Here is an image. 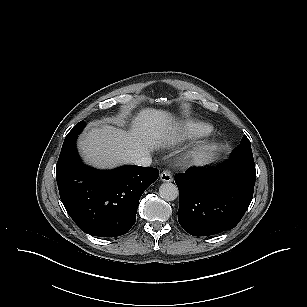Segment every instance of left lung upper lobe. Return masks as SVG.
<instances>
[{
  "instance_id": "obj_1",
  "label": "left lung upper lobe",
  "mask_w": 307,
  "mask_h": 307,
  "mask_svg": "<svg viewBox=\"0 0 307 307\" xmlns=\"http://www.w3.org/2000/svg\"><path fill=\"white\" fill-rule=\"evenodd\" d=\"M231 157L243 158L246 160H253L251 143L245 135L243 136L241 140V144L232 151Z\"/></svg>"
}]
</instances>
